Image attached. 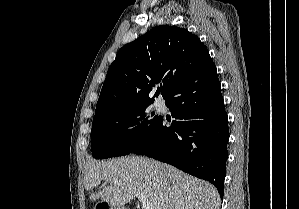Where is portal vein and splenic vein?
<instances>
[{
    "mask_svg": "<svg viewBox=\"0 0 299 209\" xmlns=\"http://www.w3.org/2000/svg\"><path fill=\"white\" fill-rule=\"evenodd\" d=\"M136 197L142 204V209H154L153 205L143 194H136Z\"/></svg>",
    "mask_w": 299,
    "mask_h": 209,
    "instance_id": "18ae733b",
    "label": "portal vein and splenic vein"
}]
</instances>
